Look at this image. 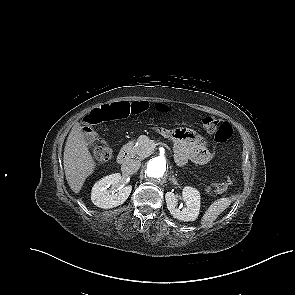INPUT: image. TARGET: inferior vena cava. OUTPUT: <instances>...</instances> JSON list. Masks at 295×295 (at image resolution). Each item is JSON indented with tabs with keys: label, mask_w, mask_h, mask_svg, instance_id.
Wrapping results in <instances>:
<instances>
[{
	"label": "inferior vena cava",
	"mask_w": 295,
	"mask_h": 295,
	"mask_svg": "<svg viewBox=\"0 0 295 295\" xmlns=\"http://www.w3.org/2000/svg\"><path fill=\"white\" fill-rule=\"evenodd\" d=\"M141 166V162L139 160L130 159L122 164L121 170L126 175H132L138 171Z\"/></svg>",
	"instance_id": "inferior-vena-cava-1"
}]
</instances>
